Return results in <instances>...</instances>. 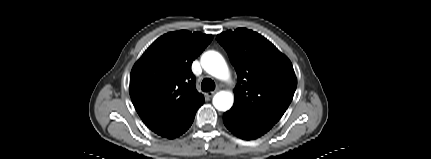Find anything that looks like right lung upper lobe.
<instances>
[{
  "label": "right lung upper lobe",
  "mask_w": 431,
  "mask_h": 159,
  "mask_svg": "<svg viewBox=\"0 0 431 159\" xmlns=\"http://www.w3.org/2000/svg\"><path fill=\"white\" fill-rule=\"evenodd\" d=\"M212 35L186 30L167 33L149 46L130 75V96L145 125L172 138L204 103L191 64Z\"/></svg>",
  "instance_id": "obj_1"
}]
</instances>
